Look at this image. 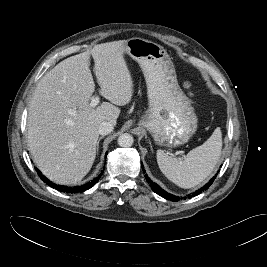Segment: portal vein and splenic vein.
Wrapping results in <instances>:
<instances>
[{
  "label": "portal vein and splenic vein",
  "mask_w": 267,
  "mask_h": 267,
  "mask_svg": "<svg viewBox=\"0 0 267 267\" xmlns=\"http://www.w3.org/2000/svg\"><path fill=\"white\" fill-rule=\"evenodd\" d=\"M99 100H100V98H99L98 96L93 97V98L91 99L90 106H91L92 108H95V107L98 105ZM69 113L72 114V115H76L77 111L74 110V109H71V110H69Z\"/></svg>",
  "instance_id": "18ae733b"
}]
</instances>
